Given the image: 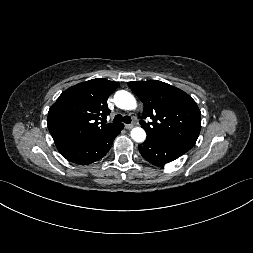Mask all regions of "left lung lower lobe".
<instances>
[{
  "label": "left lung lower lobe",
  "instance_id": "0a47b994",
  "mask_svg": "<svg viewBox=\"0 0 253 253\" xmlns=\"http://www.w3.org/2000/svg\"><path fill=\"white\" fill-rule=\"evenodd\" d=\"M142 157L155 166H163L188 150L184 147L147 138L138 146Z\"/></svg>",
  "mask_w": 253,
  "mask_h": 253
}]
</instances>
